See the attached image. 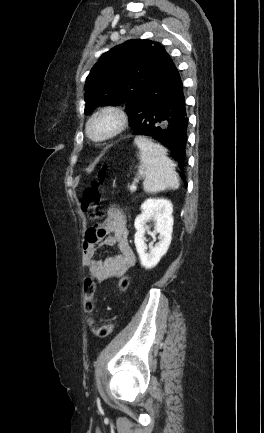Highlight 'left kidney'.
<instances>
[{
  "label": "left kidney",
  "instance_id": "1",
  "mask_svg": "<svg viewBox=\"0 0 264 433\" xmlns=\"http://www.w3.org/2000/svg\"><path fill=\"white\" fill-rule=\"evenodd\" d=\"M141 214L135 219L136 229L134 242L141 265L145 269L154 268L160 259L166 254L172 239L173 231V206L169 200L150 198L141 205ZM153 221L156 232L159 233V242L149 246L144 242L145 232L148 229L146 223Z\"/></svg>",
  "mask_w": 264,
  "mask_h": 433
}]
</instances>
